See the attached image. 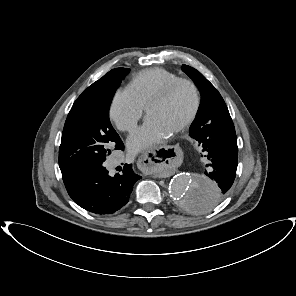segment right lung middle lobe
Here are the masks:
<instances>
[{
	"mask_svg": "<svg viewBox=\"0 0 296 296\" xmlns=\"http://www.w3.org/2000/svg\"><path fill=\"white\" fill-rule=\"evenodd\" d=\"M127 68H116L78 97L66 119L59 148L62 176L105 161L124 145L109 120V107Z\"/></svg>",
	"mask_w": 296,
	"mask_h": 296,
	"instance_id": "1",
	"label": "right lung middle lobe"
}]
</instances>
